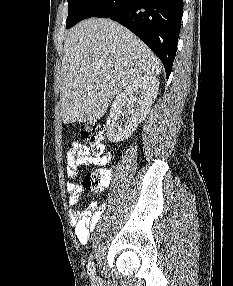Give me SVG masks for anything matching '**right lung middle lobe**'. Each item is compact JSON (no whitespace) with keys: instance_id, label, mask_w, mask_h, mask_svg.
I'll list each match as a JSON object with an SVG mask.
<instances>
[{"instance_id":"obj_1","label":"right lung middle lobe","mask_w":233,"mask_h":286,"mask_svg":"<svg viewBox=\"0 0 233 286\" xmlns=\"http://www.w3.org/2000/svg\"><path fill=\"white\" fill-rule=\"evenodd\" d=\"M67 1L69 8H68L66 27L70 28L74 25L79 15L92 0H67Z\"/></svg>"}]
</instances>
